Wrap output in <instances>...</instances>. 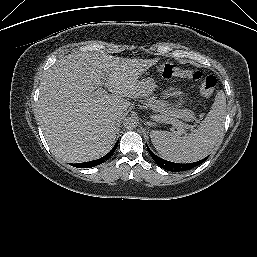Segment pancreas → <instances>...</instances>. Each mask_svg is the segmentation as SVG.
Here are the masks:
<instances>
[{
    "label": "pancreas",
    "mask_w": 257,
    "mask_h": 257,
    "mask_svg": "<svg viewBox=\"0 0 257 257\" xmlns=\"http://www.w3.org/2000/svg\"><path fill=\"white\" fill-rule=\"evenodd\" d=\"M155 112L161 114L160 117H166L172 120L182 119L191 121L194 118V113L189 109H180L178 107H170L167 102L157 100L155 97H150L145 103Z\"/></svg>",
    "instance_id": "obj_1"
}]
</instances>
